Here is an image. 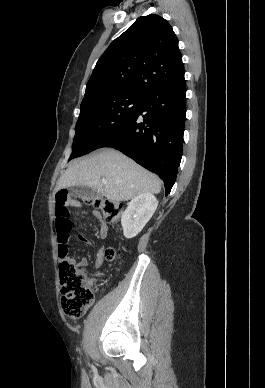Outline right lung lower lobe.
Listing matches in <instances>:
<instances>
[{"instance_id":"1","label":"right lung lower lobe","mask_w":265,"mask_h":388,"mask_svg":"<svg viewBox=\"0 0 265 388\" xmlns=\"http://www.w3.org/2000/svg\"><path fill=\"white\" fill-rule=\"evenodd\" d=\"M186 114V82L158 85L146 92L138 109L99 146L113 147L156 173L166 195L171 191L182 157Z\"/></svg>"}]
</instances>
